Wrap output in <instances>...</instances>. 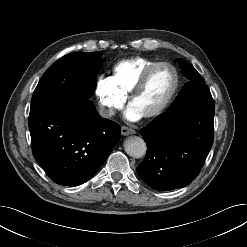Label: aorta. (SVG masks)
Here are the masks:
<instances>
[{
  "label": "aorta",
  "mask_w": 247,
  "mask_h": 247,
  "mask_svg": "<svg viewBox=\"0 0 247 247\" xmlns=\"http://www.w3.org/2000/svg\"><path fill=\"white\" fill-rule=\"evenodd\" d=\"M124 150L133 158H141L145 155L147 147L142 138L131 136L124 141Z\"/></svg>",
  "instance_id": "obj_1"
}]
</instances>
